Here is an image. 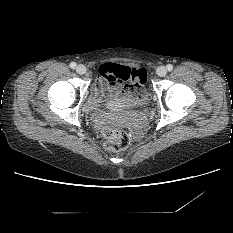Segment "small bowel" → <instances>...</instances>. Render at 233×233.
Segmentation results:
<instances>
[{
    "mask_svg": "<svg viewBox=\"0 0 233 233\" xmlns=\"http://www.w3.org/2000/svg\"><path fill=\"white\" fill-rule=\"evenodd\" d=\"M124 67L129 71L130 76L136 79L139 83L143 81L144 71L142 68L134 66H126L118 63L103 62L99 65V76L95 80L93 88V96L95 100H99L104 94L107 93H122L125 89L112 79L117 68Z\"/></svg>",
    "mask_w": 233,
    "mask_h": 233,
    "instance_id": "c3829d8e",
    "label": "small bowel"
}]
</instances>
